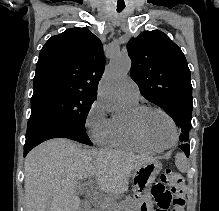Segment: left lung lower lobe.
Wrapping results in <instances>:
<instances>
[{
  "instance_id": "0a47b994",
  "label": "left lung lower lobe",
  "mask_w": 219,
  "mask_h": 211,
  "mask_svg": "<svg viewBox=\"0 0 219 211\" xmlns=\"http://www.w3.org/2000/svg\"><path fill=\"white\" fill-rule=\"evenodd\" d=\"M186 154V156H189V145L188 144H182L179 146Z\"/></svg>"
}]
</instances>
